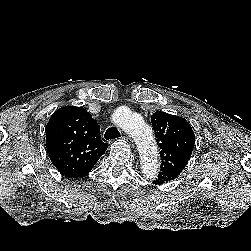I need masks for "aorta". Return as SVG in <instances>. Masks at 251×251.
<instances>
[{"label": "aorta", "mask_w": 251, "mask_h": 251, "mask_svg": "<svg viewBox=\"0 0 251 251\" xmlns=\"http://www.w3.org/2000/svg\"><path fill=\"white\" fill-rule=\"evenodd\" d=\"M113 121L134 138L141 156L143 173L154 178L159 168V157L152 129L138 114L120 107L113 114Z\"/></svg>", "instance_id": "762f6f07"}]
</instances>
